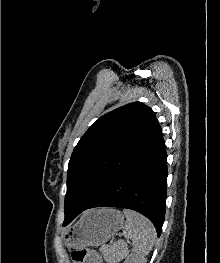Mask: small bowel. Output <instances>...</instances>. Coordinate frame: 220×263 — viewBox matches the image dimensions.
Masks as SVG:
<instances>
[{
    "label": "small bowel",
    "instance_id": "obj_1",
    "mask_svg": "<svg viewBox=\"0 0 220 263\" xmlns=\"http://www.w3.org/2000/svg\"><path fill=\"white\" fill-rule=\"evenodd\" d=\"M87 263H97L95 260H89Z\"/></svg>",
    "mask_w": 220,
    "mask_h": 263
}]
</instances>
